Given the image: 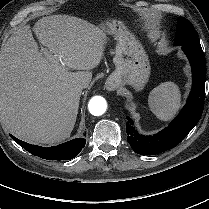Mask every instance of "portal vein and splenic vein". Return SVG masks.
I'll list each match as a JSON object with an SVG mask.
<instances>
[{"instance_id":"18ae733b","label":"portal vein and splenic vein","mask_w":209,"mask_h":209,"mask_svg":"<svg viewBox=\"0 0 209 209\" xmlns=\"http://www.w3.org/2000/svg\"><path fill=\"white\" fill-rule=\"evenodd\" d=\"M43 53L47 59L51 62L56 63V56L53 55L51 52L47 51V49H43Z\"/></svg>"}]
</instances>
